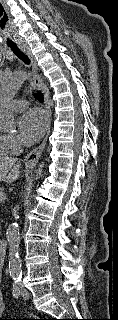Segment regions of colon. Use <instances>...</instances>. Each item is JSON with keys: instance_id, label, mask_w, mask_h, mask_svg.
<instances>
[{"instance_id": "colon-1", "label": "colon", "mask_w": 118, "mask_h": 320, "mask_svg": "<svg viewBox=\"0 0 118 320\" xmlns=\"http://www.w3.org/2000/svg\"><path fill=\"white\" fill-rule=\"evenodd\" d=\"M0 320H6V319H1V317H0ZM28 320H39V319H28Z\"/></svg>"}]
</instances>
